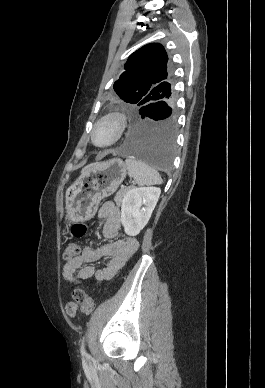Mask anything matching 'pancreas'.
Here are the masks:
<instances>
[{"instance_id": "obj_1", "label": "pancreas", "mask_w": 265, "mask_h": 388, "mask_svg": "<svg viewBox=\"0 0 265 388\" xmlns=\"http://www.w3.org/2000/svg\"><path fill=\"white\" fill-rule=\"evenodd\" d=\"M130 188H124V190H119V192H117L115 198H114V202H116L117 206H121V202L125 196V194H127V192H129Z\"/></svg>"}]
</instances>
